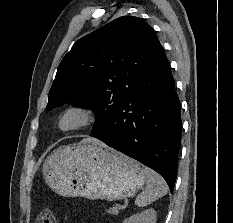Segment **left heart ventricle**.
Returning <instances> with one entry per match:
<instances>
[{"instance_id": "obj_1", "label": "left heart ventricle", "mask_w": 233, "mask_h": 223, "mask_svg": "<svg viewBox=\"0 0 233 223\" xmlns=\"http://www.w3.org/2000/svg\"><path fill=\"white\" fill-rule=\"evenodd\" d=\"M85 121L84 116L77 112V111H71L66 113L59 121L58 123V129L60 131H67L75 129L79 126H81Z\"/></svg>"}]
</instances>
